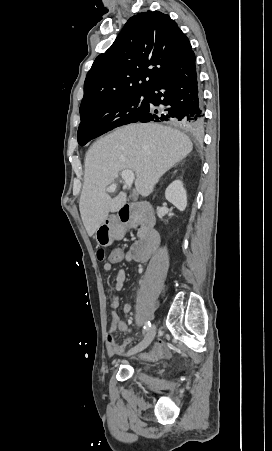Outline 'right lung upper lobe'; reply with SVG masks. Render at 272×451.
I'll use <instances>...</instances> for the list:
<instances>
[{
  "label": "right lung upper lobe",
  "instance_id": "obj_1",
  "mask_svg": "<svg viewBox=\"0 0 272 451\" xmlns=\"http://www.w3.org/2000/svg\"><path fill=\"white\" fill-rule=\"evenodd\" d=\"M191 52L188 38L169 15L147 11L132 16L89 70L80 113L110 100L148 94Z\"/></svg>",
  "mask_w": 272,
  "mask_h": 451
}]
</instances>
